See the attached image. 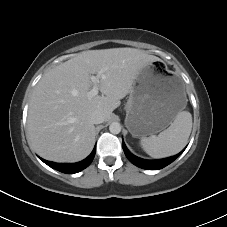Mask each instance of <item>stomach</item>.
<instances>
[{"label": "stomach", "mask_w": 227, "mask_h": 227, "mask_svg": "<svg viewBox=\"0 0 227 227\" xmlns=\"http://www.w3.org/2000/svg\"><path fill=\"white\" fill-rule=\"evenodd\" d=\"M161 60L141 68L134 79L126 103L125 125L133 136L145 137L168 127L185 108L187 98L182 83Z\"/></svg>", "instance_id": "0dacf381"}]
</instances>
